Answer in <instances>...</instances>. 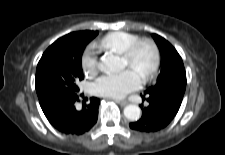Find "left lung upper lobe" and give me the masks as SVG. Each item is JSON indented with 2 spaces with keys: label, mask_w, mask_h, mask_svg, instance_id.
<instances>
[{
  "label": "left lung upper lobe",
  "mask_w": 225,
  "mask_h": 155,
  "mask_svg": "<svg viewBox=\"0 0 225 155\" xmlns=\"http://www.w3.org/2000/svg\"><path fill=\"white\" fill-rule=\"evenodd\" d=\"M161 51V69L155 85L144 95L181 93L186 89V72L182 58L176 49L164 38L152 35Z\"/></svg>",
  "instance_id": "left-lung-upper-lobe-1"
}]
</instances>
